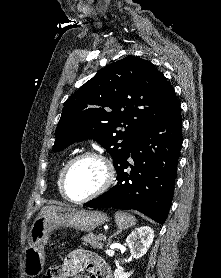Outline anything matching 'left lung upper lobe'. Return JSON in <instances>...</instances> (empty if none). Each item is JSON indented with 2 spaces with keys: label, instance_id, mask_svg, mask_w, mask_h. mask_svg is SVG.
<instances>
[{
  "label": "left lung upper lobe",
  "instance_id": "5c2ea615",
  "mask_svg": "<svg viewBox=\"0 0 221 278\" xmlns=\"http://www.w3.org/2000/svg\"><path fill=\"white\" fill-rule=\"evenodd\" d=\"M176 101L173 87L151 62L128 56L98 71L65 102L53 150L92 138L115 167Z\"/></svg>",
  "mask_w": 221,
  "mask_h": 278
}]
</instances>
